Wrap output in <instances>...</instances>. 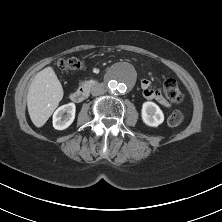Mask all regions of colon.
<instances>
[{
	"label": "colon",
	"instance_id": "5ec220e1",
	"mask_svg": "<svg viewBox=\"0 0 222 222\" xmlns=\"http://www.w3.org/2000/svg\"><path fill=\"white\" fill-rule=\"evenodd\" d=\"M58 66L65 71L79 70L83 67L81 60L77 58H67L62 59L58 62ZM163 93L167 101L169 102H180L182 100V92L178 83L173 79H168L165 81L163 86ZM183 121V114L181 111H173L168 119L167 124L171 127H175L181 124Z\"/></svg>",
	"mask_w": 222,
	"mask_h": 222
}]
</instances>
